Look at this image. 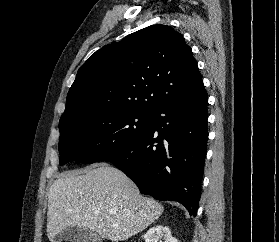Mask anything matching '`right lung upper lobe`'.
<instances>
[{"mask_svg":"<svg viewBox=\"0 0 279 242\" xmlns=\"http://www.w3.org/2000/svg\"><path fill=\"white\" fill-rule=\"evenodd\" d=\"M204 88L191 48L167 25H152L96 51L78 70L59 125L125 110L155 112Z\"/></svg>","mask_w":279,"mask_h":242,"instance_id":"obj_1","label":"right lung upper lobe"}]
</instances>
